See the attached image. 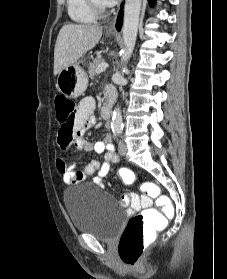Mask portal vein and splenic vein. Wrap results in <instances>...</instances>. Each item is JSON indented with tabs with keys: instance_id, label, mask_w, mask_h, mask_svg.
I'll use <instances>...</instances> for the list:
<instances>
[{
	"instance_id": "18ae733b",
	"label": "portal vein and splenic vein",
	"mask_w": 227,
	"mask_h": 279,
	"mask_svg": "<svg viewBox=\"0 0 227 279\" xmlns=\"http://www.w3.org/2000/svg\"><path fill=\"white\" fill-rule=\"evenodd\" d=\"M108 67V64L107 63H104L102 65H100L96 71L97 74L101 73V72H104L106 70V68Z\"/></svg>"
}]
</instances>
